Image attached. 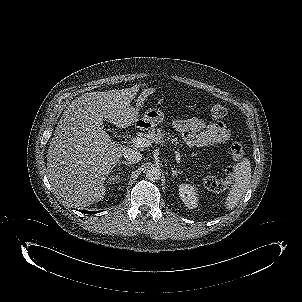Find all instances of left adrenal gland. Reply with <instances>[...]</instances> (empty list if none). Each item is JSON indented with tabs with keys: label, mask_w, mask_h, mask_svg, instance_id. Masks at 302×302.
<instances>
[{
	"label": "left adrenal gland",
	"mask_w": 302,
	"mask_h": 302,
	"mask_svg": "<svg viewBox=\"0 0 302 302\" xmlns=\"http://www.w3.org/2000/svg\"><path fill=\"white\" fill-rule=\"evenodd\" d=\"M171 171H172V177H175V176H177L178 174L181 173L180 170H177L173 167L171 168Z\"/></svg>",
	"instance_id": "left-adrenal-gland-1"
}]
</instances>
